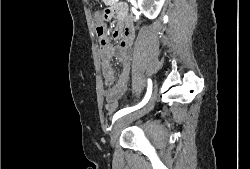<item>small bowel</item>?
Segmentation results:
<instances>
[{"label":"small bowel","mask_w":250,"mask_h":169,"mask_svg":"<svg viewBox=\"0 0 250 169\" xmlns=\"http://www.w3.org/2000/svg\"><path fill=\"white\" fill-rule=\"evenodd\" d=\"M118 19L125 22L124 14L116 11ZM104 35V34H103ZM100 36V60L101 70L107 88L104 90V95H108L109 91H116L120 97L125 93L131 73L132 62V33L128 26H124L122 39L118 47L111 46L106 37ZM115 58L121 63V71L116 80L115 69L112 66V59Z\"/></svg>","instance_id":"small-bowel-1"}]
</instances>
